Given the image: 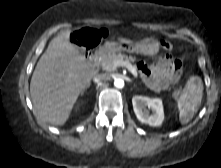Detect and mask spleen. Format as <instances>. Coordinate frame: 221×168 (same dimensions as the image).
<instances>
[{
	"instance_id": "spleen-1",
	"label": "spleen",
	"mask_w": 221,
	"mask_h": 168,
	"mask_svg": "<svg viewBox=\"0 0 221 168\" xmlns=\"http://www.w3.org/2000/svg\"><path fill=\"white\" fill-rule=\"evenodd\" d=\"M202 93V79L199 76H191L183 93L177 100L179 120L182 125L187 124L194 117L200 106Z\"/></svg>"
}]
</instances>
